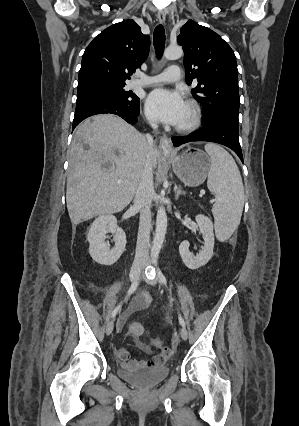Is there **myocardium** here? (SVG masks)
Instances as JSON below:
<instances>
[{"mask_svg": "<svg viewBox=\"0 0 299 426\" xmlns=\"http://www.w3.org/2000/svg\"><path fill=\"white\" fill-rule=\"evenodd\" d=\"M186 105L191 110V119L188 124L177 126V131L181 133H188L196 130L202 122V110L199 104L194 100H189Z\"/></svg>", "mask_w": 299, "mask_h": 426, "instance_id": "obj_1", "label": "myocardium"}]
</instances>
